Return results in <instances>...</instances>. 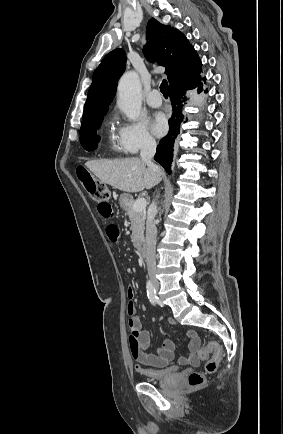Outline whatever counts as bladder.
<instances>
[{
  "instance_id": "bladder-1",
  "label": "bladder",
  "mask_w": 283,
  "mask_h": 434,
  "mask_svg": "<svg viewBox=\"0 0 283 434\" xmlns=\"http://www.w3.org/2000/svg\"><path fill=\"white\" fill-rule=\"evenodd\" d=\"M178 373L177 367L144 368L140 374L148 381H162Z\"/></svg>"
}]
</instances>
